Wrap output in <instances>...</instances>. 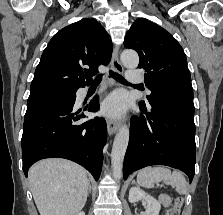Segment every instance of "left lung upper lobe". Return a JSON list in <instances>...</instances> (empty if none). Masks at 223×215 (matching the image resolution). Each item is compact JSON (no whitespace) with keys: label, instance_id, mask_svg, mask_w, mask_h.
Masks as SVG:
<instances>
[{"label":"left lung upper lobe","instance_id":"5c2ea615","mask_svg":"<svg viewBox=\"0 0 223 215\" xmlns=\"http://www.w3.org/2000/svg\"><path fill=\"white\" fill-rule=\"evenodd\" d=\"M124 46L139 54L138 67L146 72L145 84L151 90L148 103H167L194 110L186 55L168 31L139 18L127 32Z\"/></svg>","mask_w":223,"mask_h":215}]
</instances>
